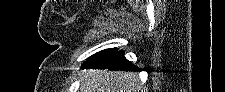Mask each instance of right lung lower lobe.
Returning <instances> with one entry per match:
<instances>
[{"label":"right lung lower lobe","instance_id":"right-lung-lower-lobe-1","mask_svg":"<svg viewBox=\"0 0 225 92\" xmlns=\"http://www.w3.org/2000/svg\"><path fill=\"white\" fill-rule=\"evenodd\" d=\"M85 68L92 69H108L121 71H139L138 67L129 62L121 51H114L105 57H102Z\"/></svg>","mask_w":225,"mask_h":92}]
</instances>
